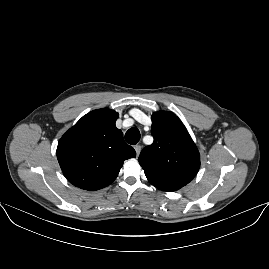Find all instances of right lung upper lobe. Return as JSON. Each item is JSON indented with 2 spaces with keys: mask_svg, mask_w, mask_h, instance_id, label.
Returning a JSON list of instances; mask_svg holds the SVG:
<instances>
[{
  "mask_svg": "<svg viewBox=\"0 0 269 269\" xmlns=\"http://www.w3.org/2000/svg\"><path fill=\"white\" fill-rule=\"evenodd\" d=\"M118 113L93 110L83 116L60 139L57 159L65 177L76 187L95 191L110 185L123 162L136 157L115 126Z\"/></svg>",
  "mask_w": 269,
  "mask_h": 269,
  "instance_id": "1",
  "label": "right lung upper lobe"
}]
</instances>
